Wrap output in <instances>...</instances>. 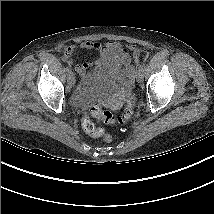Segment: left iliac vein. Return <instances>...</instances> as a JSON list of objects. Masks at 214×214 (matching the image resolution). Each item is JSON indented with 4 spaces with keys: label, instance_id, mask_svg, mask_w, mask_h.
<instances>
[{
    "label": "left iliac vein",
    "instance_id": "obj_1",
    "mask_svg": "<svg viewBox=\"0 0 214 214\" xmlns=\"http://www.w3.org/2000/svg\"><path fill=\"white\" fill-rule=\"evenodd\" d=\"M135 79L138 81V82H141L142 80V72L141 71H137L136 74H135Z\"/></svg>",
    "mask_w": 214,
    "mask_h": 214
}]
</instances>
